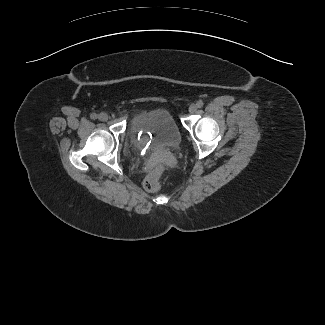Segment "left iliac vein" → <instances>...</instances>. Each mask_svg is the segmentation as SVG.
Masks as SVG:
<instances>
[{
  "instance_id": "left-iliac-vein-1",
  "label": "left iliac vein",
  "mask_w": 325,
  "mask_h": 325,
  "mask_svg": "<svg viewBox=\"0 0 325 325\" xmlns=\"http://www.w3.org/2000/svg\"><path fill=\"white\" fill-rule=\"evenodd\" d=\"M197 111V105L196 104H191L190 106H189V112L191 113V114H193V113H195Z\"/></svg>"
}]
</instances>
